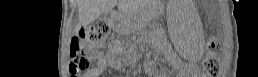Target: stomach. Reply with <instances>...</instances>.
Here are the masks:
<instances>
[{
  "label": "stomach",
  "instance_id": "stomach-1",
  "mask_svg": "<svg viewBox=\"0 0 258 77\" xmlns=\"http://www.w3.org/2000/svg\"><path fill=\"white\" fill-rule=\"evenodd\" d=\"M129 23H130L129 20H125V22H124L125 25H127V24H129Z\"/></svg>",
  "mask_w": 258,
  "mask_h": 77
}]
</instances>
